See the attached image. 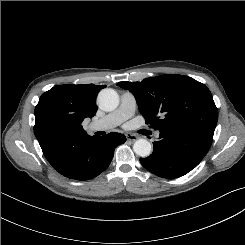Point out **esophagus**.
Masks as SVG:
<instances>
[{
    "mask_svg": "<svg viewBox=\"0 0 245 245\" xmlns=\"http://www.w3.org/2000/svg\"><path fill=\"white\" fill-rule=\"evenodd\" d=\"M126 138L128 141L134 142L138 139V136L131 134V133H128V134H126Z\"/></svg>",
    "mask_w": 245,
    "mask_h": 245,
    "instance_id": "1",
    "label": "esophagus"
}]
</instances>
